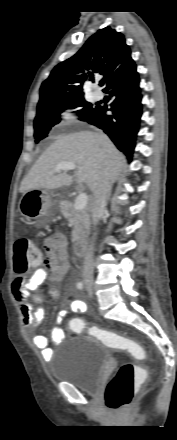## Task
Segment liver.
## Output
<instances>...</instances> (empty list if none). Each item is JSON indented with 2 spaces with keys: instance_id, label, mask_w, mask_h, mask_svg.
<instances>
[{
  "instance_id": "6515ba94",
  "label": "liver",
  "mask_w": 177,
  "mask_h": 440,
  "mask_svg": "<svg viewBox=\"0 0 177 440\" xmlns=\"http://www.w3.org/2000/svg\"><path fill=\"white\" fill-rule=\"evenodd\" d=\"M60 162H74L77 165V183L87 184L91 191H94L102 174L114 180L126 167L124 155L105 134L92 131L71 133L56 140L44 151L23 179L20 192L70 186L73 177L66 172L55 171Z\"/></svg>"
}]
</instances>
